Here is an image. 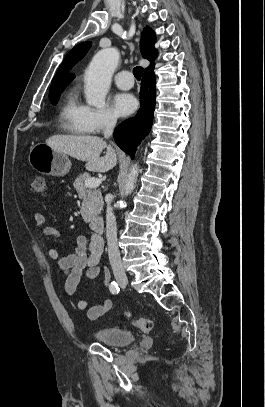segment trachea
<instances>
[{
  "mask_svg": "<svg viewBox=\"0 0 265 407\" xmlns=\"http://www.w3.org/2000/svg\"><path fill=\"white\" fill-rule=\"evenodd\" d=\"M142 73H143V69L140 66L135 67L133 70V74L137 80L141 79Z\"/></svg>",
  "mask_w": 265,
  "mask_h": 407,
  "instance_id": "trachea-1",
  "label": "trachea"
}]
</instances>
